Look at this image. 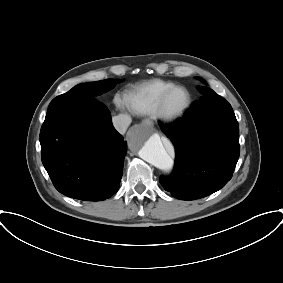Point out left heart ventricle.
Wrapping results in <instances>:
<instances>
[{"instance_id": "left-heart-ventricle-1", "label": "left heart ventricle", "mask_w": 283, "mask_h": 283, "mask_svg": "<svg viewBox=\"0 0 283 283\" xmlns=\"http://www.w3.org/2000/svg\"><path fill=\"white\" fill-rule=\"evenodd\" d=\"M185 102V94L181 91L175 92L168 100L167 105L169 108L177 109Z\"/></svg>"}]
</instances>
